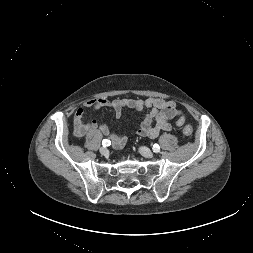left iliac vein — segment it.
<instances>
[{
	"label": "left iliac vein",
	"instance_id": "4c4485c4",
	"mask_svg": "<svg viewBox=\"0 0 253 253\" xmlns=\"http://www.w3.org/2000/svg\"><path fill=\"white\" fill-rule=\"evenodd\" d=\"M139 152L144 156V157H147V158H152L153 157V153L150 149H148L147 147H140L139 148Z\"/></svg>",
	"mask_w": 253,
	"mask_h": 253
}]
</instances>
